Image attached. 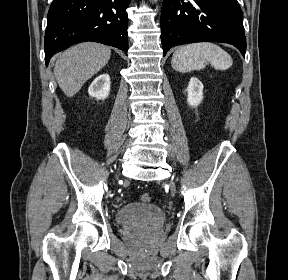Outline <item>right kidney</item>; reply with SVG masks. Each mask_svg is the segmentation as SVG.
<instances>
[{
    "label": "right kidney",
    "instance_id": "ca27d5eb",
    "mask_svg": "<svg viewBox=\"0 0 288 280\" xmlns=\"http://www.w3.org/2000/svg\"><path fill=\"white\" fill-rule=\"evenodd\" d=\"M110 92V77L108 74L98 76L90 85L88 93L96 99H106Z\"/></svg>",
    "mask_w": 288,
    "mask_h": 280
}]
</instances>
